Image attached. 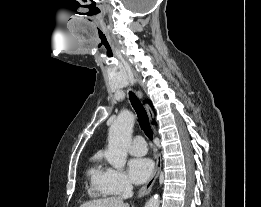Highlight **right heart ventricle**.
Wrapping results in <instances>:
<instances>
[{"label": "right heart ventricle", "instance_id": "obj_1", "mask_svg": "<svg viewBox=\"0 0 261 207\" xmlns=\"http://www.w3.org/2000/svg\"><path fill=\"white\" fill-rule=\"evenodd\" d=\"M104 171L105 169H102L101 167V156H94L88 169V177L91 184L90 193L92 196L103 197L108 195L102 184V176Z\"/></svg>", "mask_w": 261, "mask_h": 207}]
</instances>
